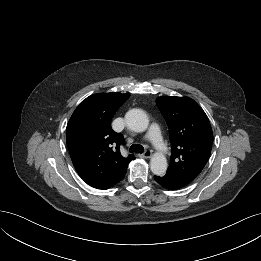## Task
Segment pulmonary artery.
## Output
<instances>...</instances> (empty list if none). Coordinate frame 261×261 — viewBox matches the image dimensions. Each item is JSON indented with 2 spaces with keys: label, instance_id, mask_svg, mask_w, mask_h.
Returning <instances> with one entry per match:
<instances>
[{
  "label": "pulmonary artery",
  "instance_id": "1",
  "mask_svg": "<svg viewBox=\"0 0 261 261\" xmlns=\"http://www.w3.org/2000/svg\"><path fill=\"white\" fill-rule=\"evenodd\" d=\"M146 137L148 140H150L152 142V144L158 151H160V152L166 151L158 125L152 124L149 128V131H148Z\"/></svg>",
  "mask_w": 261,
  "mask_h": 261
}]
</instances>
